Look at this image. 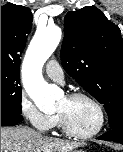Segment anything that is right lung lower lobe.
Here are the masks:
<instances>
[{
	"mask_svg": "<svg viewBox=\"0 0 123 152\" xmlns=\"http://www.w3.org/2000/svg\"><path fill=\"white\" fill-rule=\"evenodd\" d=\"M23 120L20 114L1 111V126H9Z\"/></svg>",
	"mask_w": 123,
	"mask_h": 152,
	"instance_id": "obj_1",
	"label": "right lung lower lobe"
}]
</instances>
